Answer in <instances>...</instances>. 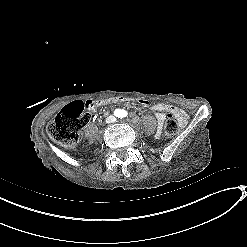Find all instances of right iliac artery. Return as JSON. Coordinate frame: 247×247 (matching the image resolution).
<instances>
[{
	"label": "right iliac artery",
	"instance_id": "1",
	"mask_svg": "<svg viewBox=\"0 0 247 247\" xmlns=\"http://www.w3.org/2000/svg\"><path fill=\"white\" fill-rule=\"evenodd\" d=\"M117 114H120V113L117 111V112H116V115H117Z\"/></svg>",
	"mask_w": 247,
	"mask_h": 247
}]
</instances>
